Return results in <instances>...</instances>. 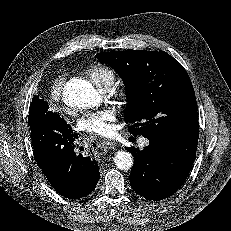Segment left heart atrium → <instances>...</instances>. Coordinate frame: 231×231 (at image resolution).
<instances>
[{"label":"left heart atrium","mask_w":231,"mask_h":231,"mask_svg":"<svg viewBox=\"0 0 231 231\" xmlns=\"http://www.w3.org/2000/svg\"><path fill=\"white\" fill-rule=\"evenodd\" d=\"M115 119V110L106 108L86 115L80 121V127L92 134L107 135L112 131V122Z\"/></svg>","instance_id":"39dd6f15"}]
</instances>
